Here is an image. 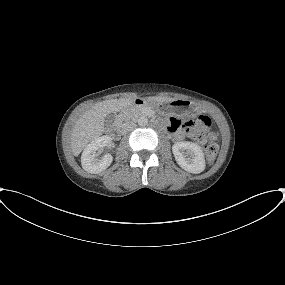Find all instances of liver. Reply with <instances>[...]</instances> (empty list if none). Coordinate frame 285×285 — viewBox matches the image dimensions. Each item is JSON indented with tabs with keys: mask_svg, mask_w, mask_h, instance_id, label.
I'll list each match as a JSON object with an SVG mask.
<instances>
[{
	"mask_svg": "<svg viewBox=\"0 0 285 285\" xmlns=\"http://www.w3.org/2000/svg\"><path fill=\"white\" fill-rule=\"evenodd\" d=\"M159 102H169L173 99H155ZM134 103L133 99H112L96 103L86 111L73 127L70 143L74 156H78L87 144L98 138L104 132V119L109 113L118 112Z\"/></svg>",
	"mask_w": 285,
	"mask_h": 285,
	"instance_id": "liver-1",
	"label": "liver"
}]
</instances>
